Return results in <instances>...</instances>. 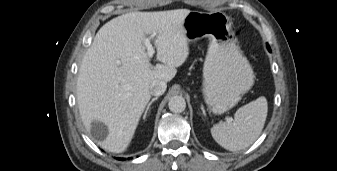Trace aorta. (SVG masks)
Segmentation results:
<instances>
[{"label":"aorta","mask_w":337,"mask_h":171,"mask_svg":"<svg viewBox=\"0 0 337 171\" xmlns=\"http://www.w3.org/2000/svg\"><path fill=\"white\" fill-rule=\"evenodd\" d=\"M168 106L171 112L181 113L186 108V101L182 96H173L170 98Z\"/></svg>","instance_id":"762f6f07"}]
</instances>
